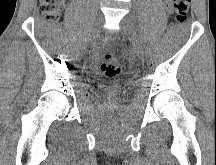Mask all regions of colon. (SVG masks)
I'll list each match as a JSON object with an SVG mask.
<instances>
[{"label": "colon", "mask_w": 216, "mask_h": 165, "mask_svg": "<svg viewBox=\"0 0 216 165\" xmlns=\"http://www.w3.org/2000/svg\"><path fill=\"white\" fill-rule=\"evenodd\" d=\"M65 0H40V8L45 19L55 21ZM191 0H172L176 20L180 23L187 19ZM101 71L108 78H118L122 69L113 54H106L101 63Z\"/></svg>", "instance_id": "colon-1"}]
</instances>
